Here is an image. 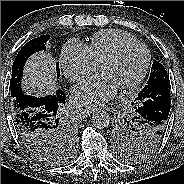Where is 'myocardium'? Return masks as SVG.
<instances>
[{
  "label": "myocardium",
  "mask_w": 184,
  "mask_h": 184,
  "mask_svg": "<svg viewBox=\"0 0 184 184\" xmlns=\"http://www.w3.org/2000/svg\"><path fill=\"white\" fill-rule=\"evenodd\" d=\"M131 47H139L143 50V52L145 54V62H144V65H143L140 73L137 75V77L133 81H131L130 83H128L120 88L122 91H128V90H133V89L137 88L142 83L145 76L147 75V72H148L150 65H151V53H150V50L148 49V47L144 43H141L137 40L125 42V43L119 45L114 51H112L110 54L105 56L98 63V68H99L101 65H103L105 63L113 62V61L117 60L122 55L123 52H125L127 49H129Z\"/></svg>",
  "instance_id": "1"
}]
</instances>
